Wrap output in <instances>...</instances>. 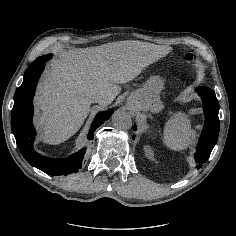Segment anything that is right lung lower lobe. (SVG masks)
I'll return each mask as SVG.
<instances>
[{"label":"right lung lower lobe","mask_w":236,"mask_h":236,"mask_svg":"<svg viewBox=\"0 0 236 236\" xmlns=\"http://www.w3.org/2000/svg\"><path fill=\"white\" fill-rule=\"evenodd\" d=\"M50 58L46 57L35 65H32L34 62L31 63L24 73L23 83L14 95L11 128L21 154L32 166L52 176L68 175L82 168L85 148L63 159L44 157L33 150L35 129L32 125V100L39 76L44 69L45 62ZM112 113L113 111H104L96 115L88 134L89 140L93 139L95 130L108 120Z\"/></svg>","instance_id":"obj_1"}]
</instances>
